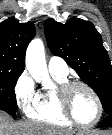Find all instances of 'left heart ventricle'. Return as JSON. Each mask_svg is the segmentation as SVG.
<instances>
[{"instance_id":"left-heart-ventricle-1","label":"left heart ventricle","mask_w":112,"mask_h":135,"mask_svg":"<svg viewBox=\"0 0 112 135\" xmlns=\"http://www.w3.org/2000/svg\"><path fill=\"white\" fill-rule=\"evenodd\" d=\"M70 105L74 116L82 123L91 122L97 115L94 98L82 87H77L71 92Z\"/></svg>"}]
</instances>
